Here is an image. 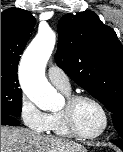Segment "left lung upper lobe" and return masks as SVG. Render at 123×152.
Wrapping results in <instances>:
<instances>
[{
	"label": "left lung upper lobe",
	"mask_w": 123,
	"mask_h": 152,
	"mask_svg": "<svg viewBox=\"0 0 123 152\" xmlns=\"http://www.w3.org/2000/svg\"><path fill=\"white\" fill-rule=\"evenodd\" d=\"M57 65L111 112L123 138V46L92 11L66 14L58 23Z\"/></svg>",
	"instance_id": "obj_1"
}]
</instances>
